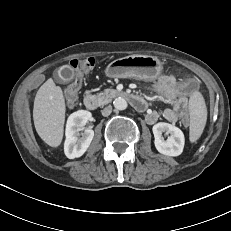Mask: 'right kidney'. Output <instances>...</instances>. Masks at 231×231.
<instances>
[{"label":"right kidney","mask_w":231,"mask_h":231,"mask_svg":"<svg viewBox=\"0 0 231 231\" xmlns=\"http://www.w3.org/2000/svg\"><path fill=\"white\" fill-rule=\"evenodd\" d=\"M91 118V113L86 110H79L72 113L66 124V139L64 143V152L67 158L74 159L81 157L90 146L94 131L86 129L79 138V132L83 130L88 120Z\"/></svg>","instance_id":"1"}]
</instances>
